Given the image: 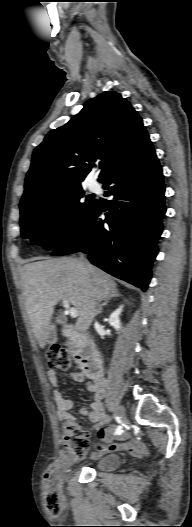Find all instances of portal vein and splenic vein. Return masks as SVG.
<instances>
[{"mask_svg": "<svg viewBox=\"0 0 192 527\" xmlns=\"http://www.w3.org/2000/svg\"><path fill=\"white\" fill-rule=\"evenodd\" d=\"M63 307L66 309V313L69 314L72 318L78 317V311L74 307H70V303L63 299Z\"/></svg>", "mask_w": 192, "mask_h": 527, "instance_id": "18ae733b", "label": "portal vein and splenic vein"}]
</instances>
